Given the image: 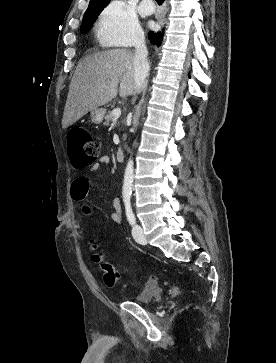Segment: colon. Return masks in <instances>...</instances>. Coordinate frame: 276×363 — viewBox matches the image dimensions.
I'll list each match as a JSON object with an SVG mask.
<instances>
[{
	"label": "colon",
	"instance_id": "5ec220e1",
	"mask_svg": "<svg viewBox=\"0 0 276 363\" xmlns=\"http://www.w3.org/2000/svg\"><path fill=\"white\" fill-rule=\"evenodd\" d=\"M99 145L88 131L82 128H74L68 134V153L72 164L77 168H84L93 164L99 158ZM95 252L92 260L99 263L104 270V282L108 287L117 284L120 273L113 263L106 257L105 251L99 249L95 239H90ZM155 284V280L150 281V285Z\"/></svg>",
	"mask_w": 276,
	"mask_h": 363
}]
</instances>
